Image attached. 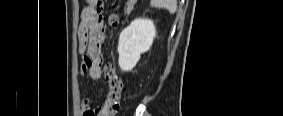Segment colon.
<instances>
[{
    "label": "colon",
    "instance_id": "obj_1",
    "mask_svg": "<svg viewBox=\"0 0 283 116\" xmlns=\"http://www.w3.org/2000/svg\"><path fill=\"white\" fill-rule=\"evenodd\" d=\"M108 23L112 27L118 23V16L115 11L109 14ZM103 70L109 86V92L104 104V111L105 115L113 116L116 115L120 109L119 103L124 85L122 78L114 64L106 63Z\"/></svg>",
    "mask_w": 283,
    "mask_h": 116
}]
</instances>
